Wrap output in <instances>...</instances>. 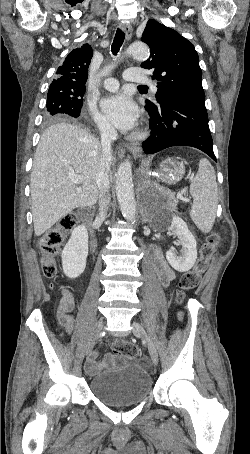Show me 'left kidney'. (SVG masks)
I'll list each match as a JSON object with an SVG mask.
<instances>
[{
  "instance_id": "obj_1",
  "label": "left kidney",
  "mask_w": 250,
  "mask_h": 454,
  "mask_svg": "<svg viewBox=\"0 0 250 454\" xmlns=\"http://www.w3.org/2000/svg\"><path fill=\"white\" fill-rule=\"evenodd\" d=\"M169 229L178 237L182 250L181 254L177 255L170 249L166 252V259L175 270L186 272L193 267L197 259L196 239L186 222L178 216H172Z\"/></svg>"
}]
</instances>
